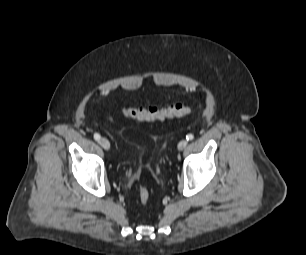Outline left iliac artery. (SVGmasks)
<instances>
[{
	"mask_svg": "<svg viewBox=\"0 0 306 255\" xmlns=\"http://www.w3.org/2000/svg\"><path fill=\"white\" fill-rule=\"evenodd\" d=\"M186 139H187L188 141H191V140L194 139V135H193V134H188V135L186 136Z\"/></svg>",
	"mask_w": 306,
	"mask_h": 255,
	"instance_id": "left-iliac-artery-1",
	"label": "left iliac artery"
}]
</instances>
